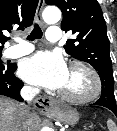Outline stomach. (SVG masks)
<instances>
[{
    "mask_svg": "<svg viewBox=\"0 0 117 131\" xmlns=\"http://www.w3.org/2000/svg\"><path fill=\"white\" fill-rule=\"evenodd\" d=\"M47 114L58 121L69 125H75L79 120L78 112L65 106H58L57 108L49 111Z\"/></svg>",
    "mask_w": 117,
    "mask_h": 131,
    "instance_id": "1",
    "label": "stomach"
}]
</instances>
